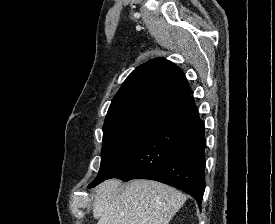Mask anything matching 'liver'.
I'll use <instances>...</instances> for the list:
<instances>
[{
  "mask_svg": "<svg viewBox=\"0 0 275 224\" xmlns=\"http://www.w3.org/2000/svg\"><path fill=\"white\" fill-rule=\"evenodd\" d=\"M120 186V180L110 179L97 187L93 203L97 224H168L187 199L175 188L152 180Z\"/></svg>",
  "mask_w": 275,
  "mask_h": 224,
  "instance_id": "liver-1",
  "label": "liver"
}]
</instances>
